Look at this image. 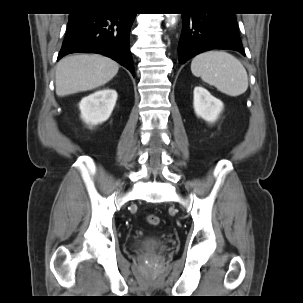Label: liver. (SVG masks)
<instances>
[{
  "mask_svg": "<svg viewBox=\"0 0 303 303\" xmlns=\"http://www.w3.org/2000/svg\"><path fill=\"white\" fill-rule=\"evenodd\" d=\"M118 70V63L97 54L64 57L56 67V94L66 96L95 89L110 81Z\"/></svg>",
  "mask_w": 303,
  "mask_h": 303,
  "instance_id": "1",
  "label": "liver"
}]
</instances>
